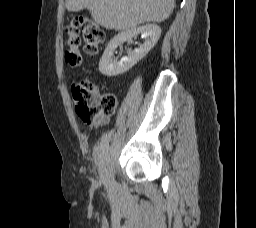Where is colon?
Segmentation results:
<instances>
[{
	"mask_svg": "<svg viewBox=\"0 0 256 228\" xmlns=\"http://www.w3.org/2000/svg\"><path fill=\"white\" fill-rule=\"evenodd\" d=\"M65 63L71 69H77L82 63L80 45L84 41L85 52L94 57L99 53L105 39L103 30L89 17L75 15L66 26ZM72 95L77 114L84 122L109 117L114 114L117 106L113 94H100L97 87L88 79L76 82L72 86Z\"/></svg>",
	"mask_w": 256,
	"mask_h": 228,
	"instance_id": "1",
	"label": "colon"
}]
</instances>
